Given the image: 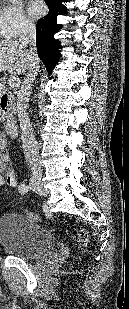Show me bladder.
Returning a JSON list of instances; mask_svg holds the SVG:
<instances>
[{"instance_id": "bladder-1", "label": "bladder", "mask_w": 129, "mask_h": 309, "mask_svg": "<svg viewBox=\"0 0 129 309\" xmlns=\"http://www.w3.org/2000/svg\"><path fill=\"white\" fill-rule=\"evenodd\" d=\"M0 245L9 254L34 259L55 247V238L47 230L21 213L0 216Z\"/></svg>"}]
</instances>
